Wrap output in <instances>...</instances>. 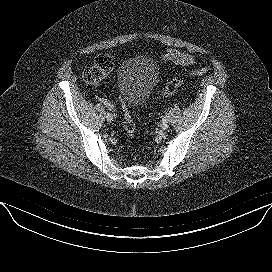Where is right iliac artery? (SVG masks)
Here are the masks:
<instances>
[{
    "instance_id": "82829eb1",
    "label": "right iliac artery",
    "mask_w": 272,
    "mask_h": 272,
    "mask_svg": "<svg viewBox=\"0 0 272 272\" xmlns=\"http://www.w3.org/2000/svg\"><path fill=\"white\" fill-rule=\"evenodd\" d=\"M110 111H105V117H110Z\"/></svg>"
}]
</instances>
